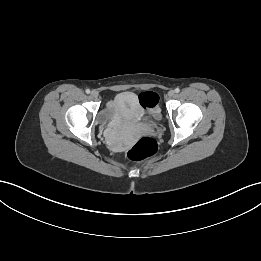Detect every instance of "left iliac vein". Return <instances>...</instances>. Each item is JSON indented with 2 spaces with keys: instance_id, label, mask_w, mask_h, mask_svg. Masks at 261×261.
Returning a JSON list of instances; mask_svg holds the SVG:
<instances>
[{
  "instance_id": "4c4485c4",
  "label": "left iliac vein",
  "mask_w": 261,
  "mask_h": 261,
  "mask_svg": "<svg viewBox=\"0 0 261 261\" xmlns=\"http://www.w3.org/2000/svg\"><path fill=\"white\" fill-rule=\"evenodd\" d=\"M175 95V91L174 90H170L169 92H168V96L171 98V97H173Z\"/></svg>"
}]
</instances>
